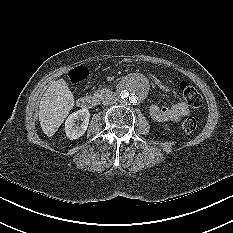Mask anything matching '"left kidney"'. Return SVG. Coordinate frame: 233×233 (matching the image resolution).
<instances>
[{
    "label": "left kidney",
    "mask_w": 233,
    "mask_h": 233,
    "mask_svg": "<svg viewBox=\"0 0 233 233\" xmlns=\"http://www.w3.org/2000/svg\"><path fill=\"white\" fill-rule=\"evenodd\" d=\"M166 130H169V127L167 125L164 126Z\"/></svg>",
    "instance_id": "1"
}]
</instances>
